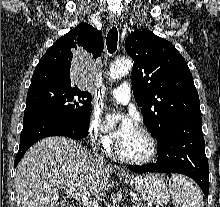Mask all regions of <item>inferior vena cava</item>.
<instances>
[{"instance_id": "obj_1", "label": "inferior vena cava", "mask_w": 220, "mask_h": 207, "mask_svg": "<svg viewBox=\"0 0 220 207\" xmlns=\"http://www.w3.org/2000/svg\"><path fill=\"white\" fill-rule=\"evenodd\" d=\"M94 157H96L98 161H103V157L97 153L94 154Z\"/></svg>"}]
</instances>
